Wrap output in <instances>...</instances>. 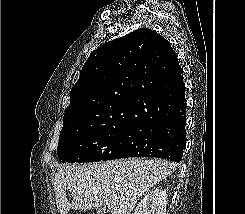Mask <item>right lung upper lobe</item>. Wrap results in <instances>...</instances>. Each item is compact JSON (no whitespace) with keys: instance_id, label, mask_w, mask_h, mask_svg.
I'll list each match as a JSON object with an SVG mask.
<instances>
[{"instance_id":"obj_1","label":"right lung upper lobe","mask_w":245,"mask_h":214,"mask_svg":"<svg viewBox=\"0 0 245 214\" xmlns=\"http://www.w3.org/2000/svg\"><path fill=\"white\" fill-rule=\"evenodd\" d=\"M175 52L150 29H138L98 47L85 62L70 92L64 119L93 127L132 120L148 100L167 86Z\"/></svg>"}]
</instances>
